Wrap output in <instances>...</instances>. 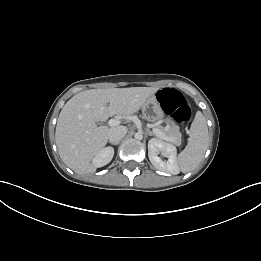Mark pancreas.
Listing matches in <instances>:
<instances>
[{"label": "pancreas", "mask_w": 261, "mask_h": 261, "mask_svg": "<svg viewBox=\"0 0 261 261\" xmlns=\"http://www.w3.org/2000/svg\"><path fill=\"white\" fill-rule=\"evenodd\" d=\"M159 130L164 135V140L174 143L175 145H181V133L177 126L167 124L165 127L158 126Z\"/></svg>", "instance_id": "obj_1"}]
</instances>
